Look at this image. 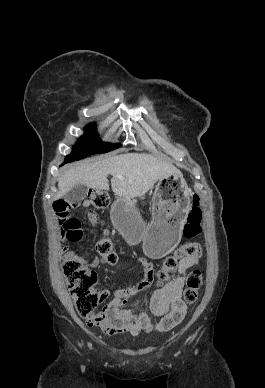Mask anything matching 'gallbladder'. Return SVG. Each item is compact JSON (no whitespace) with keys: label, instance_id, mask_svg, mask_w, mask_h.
<instances>
[{"label":"gallbladder","instance_id":"gallbladder-1","mask_svg":"<svg viewBox=\"0 0 265 388\" xmlns=\"http://www.w3.org/2000/svg\"><path fill=\"white\" fill-rule=\"evenodd\" d=\"M88 194L87 186L83 184H77L75 188H72L68 194H65L64 200L68 204H80L81 200H84Z\"/></svg>","mask_w":265,"mask_h":388}]
</instances>
